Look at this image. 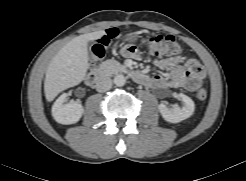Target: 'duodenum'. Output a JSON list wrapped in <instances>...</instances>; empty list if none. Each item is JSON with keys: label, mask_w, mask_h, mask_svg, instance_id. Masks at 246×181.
Returning <instances> with one entry per match:
<instances>
[{"label": "duodenum", "mask_w": 246, "mask_h": 181, "mask_svg": "<svg viewBox=\"0 0 246 181\" xmlns=\"http://www.w3.org/2000/svg\"><path fill=\"white\" fill-rule=\"evenodd\" d=\"M123 70L128 73L137 83L145 84L149 81V77L139 71L129 70L127 68H124ZM105 78L106 76L104 71L93 70L87 74L86 83L89 86L99 87L104 84Z\"/></svg>", "instance_id": "410a0bca"}]
</instances>
